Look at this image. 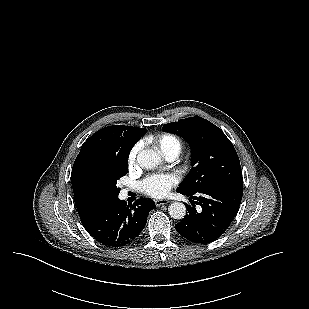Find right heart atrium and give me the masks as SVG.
I'll return each instance as SVG.
<instances>
[{"instance_id": "1", "label": "right heart atrium", "mask_w": 309, "mask_h": 309, "mask_svg": "<svg viewBox=\"0 0 309 309\" xmlns=\"http://www.w3.org/2000/svg\"><path fill=\"white\" fill-rule=\"evenodd\" d=\"M140 150V146L139 145H135L129 152L128 154V165L129 167H133L136 163L137 160V156Z\"/></svg>"}]
</instances>
